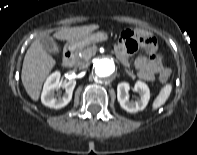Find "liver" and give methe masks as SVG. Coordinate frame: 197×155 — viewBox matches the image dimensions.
Instances as JSON below:
<instances>
[{
	"label": "liver",
	"mask_w": 197,
	"mask_h": 155,
	"mask_svg": "<svg viewBox=\"0 0 197 155\" xmlns=\"http://www.w3.org/2000/svg\"><path fill=\"white\" fill-rule=\"evenodd\" d=\"M97 28V25L73 28L62 27L54 34V37L70 43L90 34ZM54 66L55 61L44 50L41 38L35 39L24 56L21 73L23 86L34 101H38L42 85Z\"/></svg>",
	"instance_id": "1"
}]
</instances>
